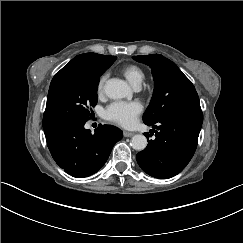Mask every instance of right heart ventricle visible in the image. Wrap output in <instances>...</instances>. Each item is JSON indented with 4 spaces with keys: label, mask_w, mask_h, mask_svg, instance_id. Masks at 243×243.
I'll return each instance as SVG.
<instances>
[{
    "label": "right heart ventricle",
    "mask_w": 243,
    "mask_h": 243,
    "mask_svg": "<svg viewBox=\"0 0 243 243\" xmlns=\"http://www.w3.org/2000/svg\"><path fill=\"white\" fill-rule=\"evenodd\" d=\"M121 74L134 87H139L145 78L144 69L137 64H128L121 69Z\"/></svg>",
    "instance_id": "1"
}]
</instances>
